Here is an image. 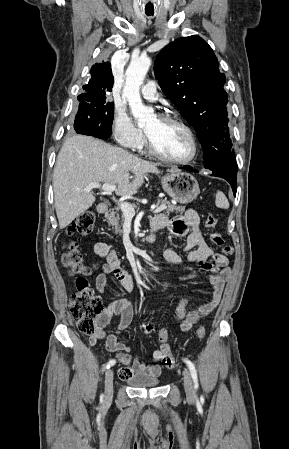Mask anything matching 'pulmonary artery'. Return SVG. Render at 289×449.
<instances>
[{
    "mask_svg": "<svg viewBox=\"0 0 289 449\" xmlns=\"http://www.w3.org/2000/svg\"><path fill=\"white\" fill-rule=\"evenodd\" d=\"M141 94L144 99L154 102L158 99L157 84L154 80H149L141 88Z\"/></svg>",
    "mask_w": 289,
    "mask_h": 449,
    "instance_id": "pulmonary-artery-1",
    "label": "pulmonary artery"
}]
</instances>
